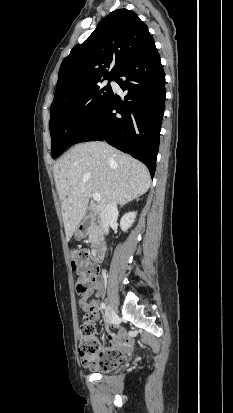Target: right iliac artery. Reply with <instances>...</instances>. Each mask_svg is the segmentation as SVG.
<instances>
[{
	"instance_id": "82829eb1",
	"label": "right iliac artery",
	"mask_w": 233,
	"mask_h": 413,
	"mask_svg": "<svg viewBox=\"0 0 233 413\" xmlns=\"http://www.w3.org/2000/svg\"><path fill=\"white\" fill-rule=\"evenodd\" d=\"M105 307H106V306H105V304H104V303H102V304H101V309H102V310H104V309H105Z\"/></svg>"
}]
</instances>
